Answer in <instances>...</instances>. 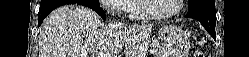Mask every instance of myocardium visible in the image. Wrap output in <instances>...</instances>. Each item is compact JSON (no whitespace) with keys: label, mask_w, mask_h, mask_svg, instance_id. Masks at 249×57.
<instances>
[{"label":"myocardium","mask_w":249,"mask_h":57,"mask_svg":"<svg viewBox=\"0 0 249 57\" xmlns=\"http://www.w3.org/2000/svg\"><path fill=\"white\" fill-rule=\"evenodd\" d=\"M184 1L183 0H177V7L174 11L166 14H155L150 11L149 8V0H140V8L141 12L147 17L148 19L151 20H166L170 19L176 15H178L183 8Z\"/></svg>","instance_id":"f54148a6"}]
</instances>
